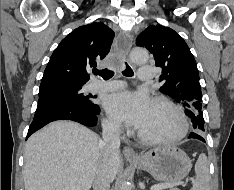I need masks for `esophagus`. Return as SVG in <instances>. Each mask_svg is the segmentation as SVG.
Returning <instances> with one entry per match:
<instances>
[{"label":"esophagus","mask_w":234,"mask_h":190,"mask_svg":"<svg viewBox=\"0 0 234 190\" xmlns=\"http://www.w3.org/2000/svg\"><path fill=\"white\" fill-rule=\"evenodd\" d=\"M118 46L120 53L127 57L131 47H132V36L128 32H122L118 35ZM123 154L127 159H138L137 154L133 148L125 146L123 149Z\"/></svg>","instance_id":"34e87169"}]
</instances>
